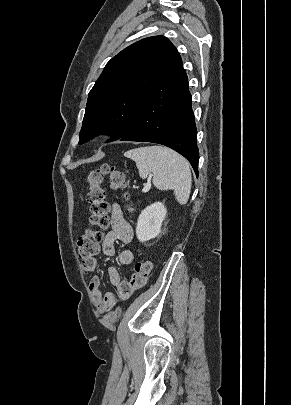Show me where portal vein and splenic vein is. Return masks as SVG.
<instances>
[{
    "label": "portal vein and splenic vein",
    "instance_id": "obj_1",
    "mask_svg": "<svg viewBox=\"0 0 291 405\" xmlns=\"http://www.w3.org/2000/svg\"><path fill=\"white\" fill-rule=\"evenodd\" d=\"M149 189H150V186L149 185H147V186H145L144 188H143V192H148L149 191Z\"/></svg>",
    "mask_w": 291,
    "mask_h": 405
}]
</instances>
